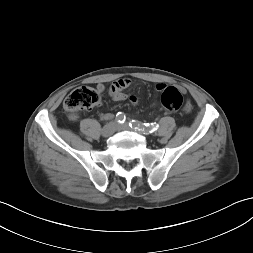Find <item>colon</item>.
Returning a JSON list of instances; mask_svg holds the SVG:
<instances>
[{"mask_svg": "<svg viewBox=\"0 0 253 253\" xmlns=\"http://www.w3.org/2000/svg\"><path fill=\"white\" fill-rule=\"evenodd\" d=\"M100 100V93L88 86H82L72 91L64 101V109L71 115L94 107ZM161 103L167 113L178 111L183 103L180 91L172 86L162 90Z\"/></svg>", "mask_w": 253, "mask_h": 253, "instance_id": "obj_1", "label": "colon"}]
</instances>
